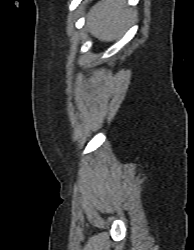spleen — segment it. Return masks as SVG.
Returning a JSON list of instances; mask_svg holds the SVG:
<instances>
[{"label":"spleen","mask_w":194,"mask_h":250,"mask_svg":"<svg viewBox=\"0 0 194 250\" xmlns=\"http://www.w3.org/2000/svg\"><path fill=\"white\" fill-rule=\"evenodd\" d=\"M135 17L125 8V0H101L89 11L86 27L97 39L111 42L126 32Z\"/></svg>","instance_id":"3e777b00"}]
</instances>
